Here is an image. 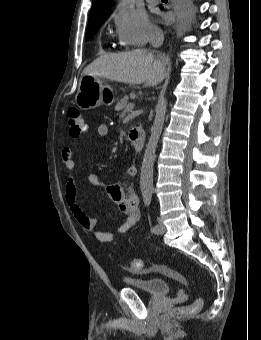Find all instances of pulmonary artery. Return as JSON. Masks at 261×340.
<instances>
[{
	"mask_svg": "<svg viewBox=\"0 0 261 340\" xmlns=\"http://www.w3.org/2000/svg\"><path fill=\"white\" fill-rule=\"evenodd\" d=\"M149 3H157L159 0H147Z\"/></svg>",
	"mask_w": 261,
	"mask_h": 340,
	"instance_id": "1",
	"label": "pulmonary artery"
}]
</instances>
